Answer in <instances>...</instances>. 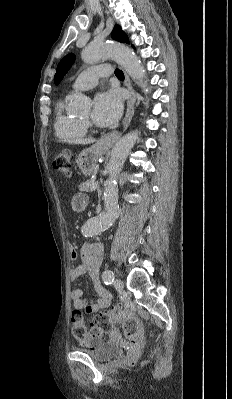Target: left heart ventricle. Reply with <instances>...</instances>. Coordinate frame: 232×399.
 <instances>
[{
	"instance_id": "obj_1",
	"label": "left heart ventricle",
	"mask_w": 232,
	"mask_h": 399,
	"mask_svg": "<svg viewBox=\"0 0 232 399\" xmlns=\"http://www.w3.org/2000/svg\"><path fill=\"white\" fill-rule=\"evenodd\" d=\"M90 117V111H88L84 116H82L81 118H85V119H89Z\"/></svg>"
}]
</instances>
